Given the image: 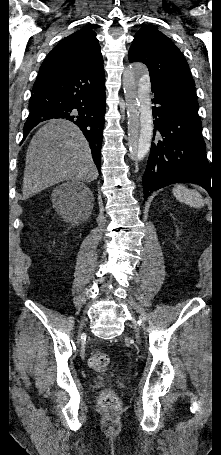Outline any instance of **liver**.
I'll return each mask as SVG.
<instances>
[{
    "label": "liver",
    "instance_id": "6515ba94",
    "mask_svg": "<svg viewBox=\"0 0 221 455\" xmlns=\"http://www.w3.org/2000/svg\"><path fill=\"white\" fill-rule=\"evenodd\" d=\"M98 171L80 129L53 119L33 136L26 154L23 199L65 180L93 181Z\"/></svg>",
    "mask_w": 221,
    "mask_h": 455
}]
</instances>
